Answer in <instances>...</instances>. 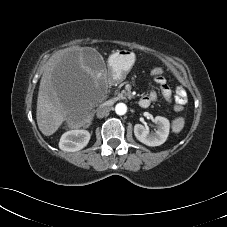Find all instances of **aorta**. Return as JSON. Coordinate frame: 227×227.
I'll return each mask as SVG.
<instances>
[{
	"mask_svg": "<svg viewBox=\"0 0 227 227\" xmlns=\"http://www.w3.org/2000/svg\"><path fill=\"white\" fill-rule=\"evenodd\" d=\"M115 112L118 115H124L127 112V106L124 103H118L115 106Z\"/></svg>",
	"mask_w": 227,
	"mask_h": 227,
	"instance_id": "obj_1",
	"label": "aorta"
}]
</instances>
